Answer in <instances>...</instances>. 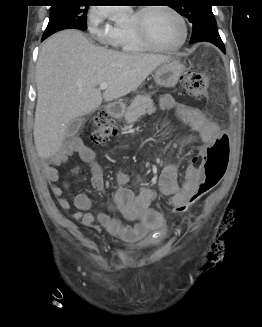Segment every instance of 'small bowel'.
I'll return each instance as SVG.
<instances>
[{
	"label": "small bowel",
	"instance_id": "c3829d8e",
	"mask_svg": "<svg viewBox=\"0 0 262 327\" xmlns=\"http://www.w3.org/2000/svg\"><path fill=\"white\" fill-rule=\"evenodd\" d=\"M159 105L163 110H173L178 118L190 130L199 134L201 146L198 153H187L186 159L188 167L185 179L182 184L178 181V165L171 163L166 165L158 178V190L168 197V204L172 212L177 206H188L186 198L188 194L201 182V160L207 157L212 143H217L218 135H224L217 124L208 120L201 111L185 103L175 100L171 95H163L159 99ZM77 153L80 158L89 166L91 172L90 182L94 189H104V175L102 166L96 160L94 151L85 145L81 139L72 138L46 165L44 173L46 180L51 185L52 192L58 198L60 206L65 210H71L72 205L69 200L62 197L63 188L56 183L59 180L57 167L68 162L72 153ZM118 187L113 193L109 208L119 212L128 221L134 222L133 225H124L118 218L112 217L105 212H98L94 216L91 212L92 201L87 193H78L74 198L76 212L73 217L83 225L89 227H105L110 233L119 236L125 241H136L147 231L159 230L163 227L161 213L153 207L156 190L146 187L141 189L138 194H134L125 185L129 178L121 170L116 172ZM66 187V184H64Z\"/></svg>",
	"mask_w": 262,
	"mask_h": 327
}]
</instances>
